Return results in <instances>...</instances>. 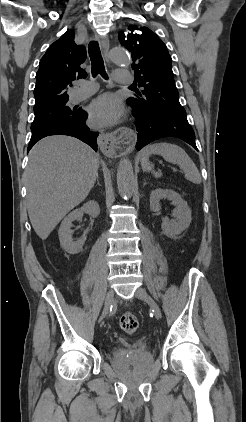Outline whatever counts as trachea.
Here are the masks:
<instances>
[{"instance_id": "obj_1", "label": "trachea", "mask_w": 246, "mask_h": 422, "mask_svg": "<svg viewBox=\"0 0 246 422\" xmlns=\"http://www.w3.org/2000/svg\"><path fill=\"white\" fill-rule=\"evenodd\" d=\"M89 57L92 65V76L96 77L98 74L104 79H108L105 71L103 58L97 41H91L88 46Z\"/></svg>"}]
</instances>
